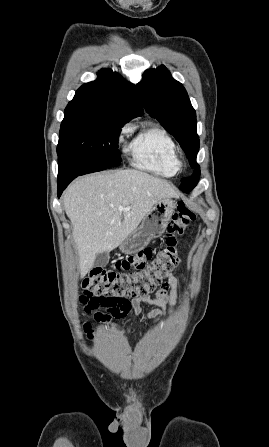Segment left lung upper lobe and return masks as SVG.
I'll return each instance as SVG.
<instances>
[{
  "mask_svg": "<svg viewBox=\"0 0 269 447\" xmlns=\"http://www.w3.org/2000/svg\"><path fill=\"white\" fill-rule=\"evenodd\" d=\"M137 88L146 111L159 120L184 149L194 173L182 178L180 189L192 190L200 177V167L196 163L200 142L196 131V113L184 86L161 65L145 71Z\"/></svg>",
  "mask_w": 269,
  "mask_h": 447,
  "instance_id": "left-lung-upper-lobe-1",
  "label": "left lung upper lobe"
}]
</instances>
